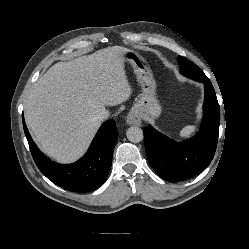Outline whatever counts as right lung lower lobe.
<instances>
[{
  "label": "right lung lower lobe",
  "instance_id": "1",
  "mask_svg": "<svg viewBox=\"0 0 249 249\" xmlns=\"http://www.w3.org/2000/svg\"><path fill=\"white\" fill-rule=\"evenodd\" d=\"M23 127L36 165L53 183L68 191L89 192L105 182L118 136L114 120L106 121L87 153L77 162L68 165L55 163L45 157L33 142L24 120Z\"/></svg>",
  "mask_w": 249,
  "mask_h": 249
}]
</instances>
